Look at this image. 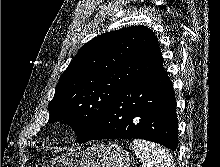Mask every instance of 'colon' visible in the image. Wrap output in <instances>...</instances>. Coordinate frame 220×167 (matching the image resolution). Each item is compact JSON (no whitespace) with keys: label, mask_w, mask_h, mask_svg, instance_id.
<instances>
[{"label":"colon","mask_w":220,"mask_h":167,"mask_svg":"<svg viewBox=\"0 0 220 167\" xmlns=\"http://www.w3.org/2000/svg\"><path fill=\"white\" fill-rule=\"evenodd\" d=\"M36 167H45V166H43V165H37Z\"/></svg>","instance_id":"obj_1"}]
</instances>
